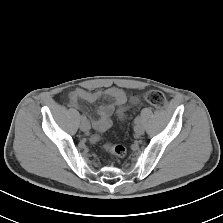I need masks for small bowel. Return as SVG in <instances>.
Instances as JSON below:
<instances>
[{
  "mask_svg": "<svg viewBox=\"0 0 223 223\" xmlns=\"http://www.w3.org/2000/svg\"><path fill=\"white\" fill-rule=\"evenodd\" d=\"M100 99H107L110 101L107 105H101L97 108L98 118L92 117L88 112L84 111L85 120H89L93 129L97 132H104L112 125L111 115L117 106L124 104L127 100L125 93L117 88H108L96 90L93 92L78 88L68 95L70 106L83 110V102H95ZM133 103H138L137 97L131 98ZM87 120V121H88Z\"/></svg>",
  "mask_w": 223,
  "mask_h": 223,
  "instance_id": "c3829d8e",
  "label": "small bowel"
}]
</instances>
